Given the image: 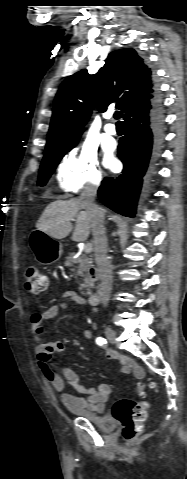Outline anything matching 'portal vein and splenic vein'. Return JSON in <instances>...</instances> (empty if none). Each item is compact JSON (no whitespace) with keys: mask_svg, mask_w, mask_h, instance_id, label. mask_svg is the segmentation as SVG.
I'll use <instances>...</instances> for the list:
<instances>
[{"mask_svg":"<svg viewBox=\"0 0 187 479\" xmlns=\"http://www.w3.org/2000/svg\"><path fill=\"white\" fill-rule=\"evenodd\" d=\"M92 251V245L91 244H86L84 246V252L85 253H90Z\"/></svg>","mask_w":187,"mask_h":479,"instance_id":"1","label":"portal vein and splenic vein"}]
</instances>
